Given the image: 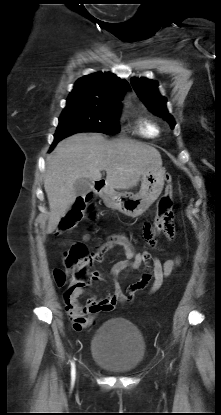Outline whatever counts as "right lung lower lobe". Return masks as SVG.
<instances>
[{
  "instance_id": "obj_1",
  "label": "right lung lower lobe",
  "mask_w": 221,
  "mask_h": 415,
  "mask_svg": "<svg viewBox=\"0 0 221 415\" xmlns=\"http://www.w3.org/2000/svg\"><path fill=\"white\" fill-rule=\"evenodd\" d=\"M60 140H54V143L52 144V146H51V149L50 150H52L54 147H55V145L59 142Z\"/></svg>"
}]
</instances>
